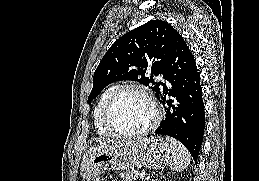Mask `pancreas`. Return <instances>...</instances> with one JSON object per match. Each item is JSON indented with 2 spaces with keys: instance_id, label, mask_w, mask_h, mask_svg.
<instances>
[{
  "instance_id": "cf45deb5",
  "label": "pancreas",
  "mask_w": 259,
  "mask_h": 181,
  "mask_svg": "<svg viewBox=\"0 0 259 181\" xmlns=\"http://www.w3.org/2000/svg\"><path fill=\"white\" fill-rule=\"evenodd\" d=\"M120 176L123 181H136L138 179L139 172L135 170H128L126 172H122Z\"/></svg>"
}]
</instances>
